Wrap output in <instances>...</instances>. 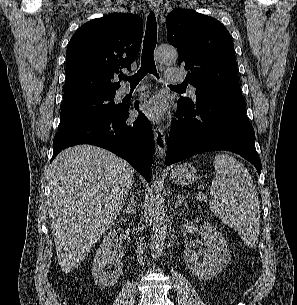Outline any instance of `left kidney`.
<instances>
[{
  "label": "left kidney",
  "mask_w": 297,
  "mask_h": 305,
  "mask_svg": "<svg viewBox=\"0 0 297 305\" xmlns=\"http://www.w3.org/2000/svg\"><path fill=\"white\" fill-rule=\"evenodd\" d=\"M208 254L203 261L196 252L188 248L184 251V260L190 271L200 280H208L218 275L229 263L230 252L223 236L210 223L200 228Z\"/></svg>",
  "instance_id": "left-kidney-1"
}]
</instances>
